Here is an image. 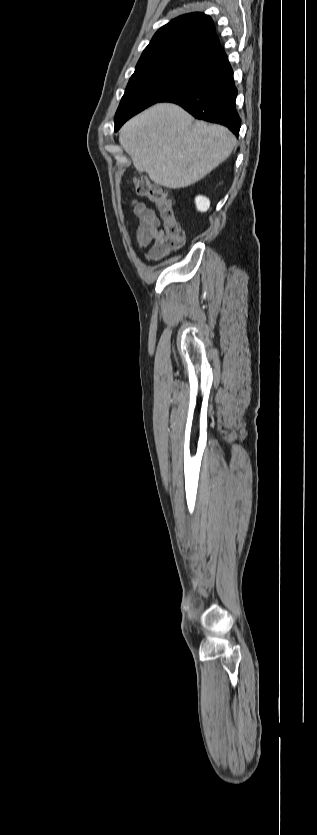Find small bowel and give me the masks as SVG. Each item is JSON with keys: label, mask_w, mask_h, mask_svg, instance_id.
<instances>
[{"label": "small bowel", "mask_w": 317, "mask_h": 835, "mask_svg": "<svg viewBox=\"0 0 317 835\" xmlns=\"http://www.w3.org/2000/svg\"><path fill=\"white\" fill-rule=\"evenodd\" d=\"M130 206L139 220V225L136 229V239L141 247L151 246L147 256L152 260H157L163 256L157 251L159 242L163 236V231L160 229V220L157 218L153 209L148 207L145 203L132 200Z\"/></svg>", "instance_id": "small-bowel-1"}]
</instances>
